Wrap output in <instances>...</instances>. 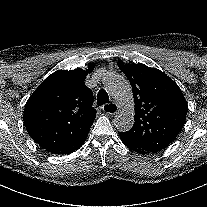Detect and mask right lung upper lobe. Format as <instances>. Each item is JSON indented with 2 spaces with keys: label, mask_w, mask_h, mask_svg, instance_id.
<instances>
[{
  "label": "right lung upper lobe",
  "mask_w": 207,
  "mask_h": 207,
  "mask_svg": "<svg viewBox=\"0 0 207 207\" xmlns=\"http://www.w3.org/2000/svg\"><path fill=\"white\" fill-rule=\"evenodd\" d=\"M58 70L29 97L24 124L32 139L47 152L69 154L85 142L96 117L93 93L85 78L94 69Z\"/></svg>",
  "instance_id": "cb5924a9"
}]
</instances>
